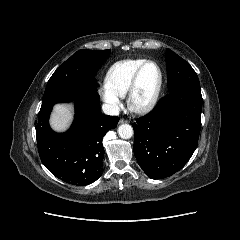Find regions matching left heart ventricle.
Returning a JSON list of instances; mask_svg holds the SVG:
<instances>
[{
    "instance_id": "1",
    "label": "left heart ventricle",
    "mask_w": 240,
    "mask_h": 240,
    "mask_svg": "<svg viewBox=\"0 0 240 240\" xmlns=\"http://www.w3.org/2000/svg\"><path fill=\"white\" fill-rule=\"evenodd\" d=\"M158 81V71L157 68L149 64L147 65L140 76L138 88L135 94V99L137 102L142 103L147 101L152 95Z\"/></svg>"
}]
</instances>
